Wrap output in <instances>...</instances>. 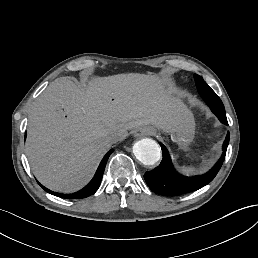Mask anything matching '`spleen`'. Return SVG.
Returning <instances> with one entry per match:
<instances>
[{
	"label": "spleen",
	"mask_w": 258,
	"mask_h": 258,
	"mask_svg": "<svg viewBox=\"0 0 258 258\" xmlns=\"http://www.w3.org/2000/svg\"><path fill=\"white\" fill-rule=\"evenodd\" d=\"M183 171L186 173H193V172H195V169L190 167V168H185Z\"/></svg>",
	"instance_id": "spleen-1"
}]
</instances>
